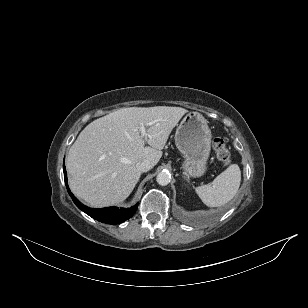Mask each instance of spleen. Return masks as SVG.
Here are the masks:
<instances>
[{
  "label": "spleen",
  "instance_id": "3e777b00",
  "mask_svg": "<svg viewBox=\"0 0 308 308\" xmlns=\"http://www.w3.org/2000/svg\"><path fill=\"white\" fill-rule=\"evenodd\" d=\"M241 171L237 164H231L212 183L195 189L202 202L209 207H219L231 201L238 192Z\"/></svg>",
  "mask_w": 308,
  "mask_h": 308
}]
</instances>
